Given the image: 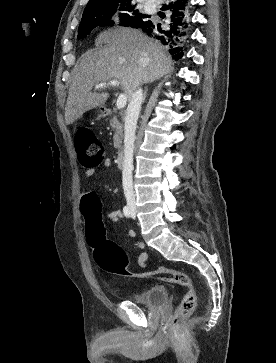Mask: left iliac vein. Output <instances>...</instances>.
I'll return each mask as SVG.
<instances>
[{
	"label": "left iliac vein",
	"instance_id": "1",
	"mask_svg": "<svg viewBox=\"0 0 276 363\" xmlns=\"http://www.w3.org/2000/svg\"><path fill=\"white\" fill-rule=\"evenodd\" d=\"M131 217L134 219L135 218V211H132Z\"/></svg>",
	"mask_w": 276,
	"mask_h": 363
}]
</instances>
